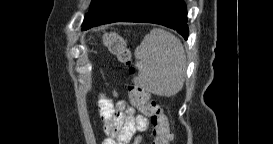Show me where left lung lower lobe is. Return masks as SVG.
<instances>
[{
    "instance_id": "0a47b994",
    "label": "left lung lower lobe",
    "mask_w": 273,
    "mask_h": 144,
    "mask_svg": "<svg viewBox=\"0 0 273 144\" xmlns=\"http://www.w3.org/2000/svg\"><path fill=\"white\" fill-rule=\"evenodd\" d=\"M118 21L161 24L188 38L187 10L182 0H92L82 26L87 30Z\"/></svg>"
}]
</instances>
